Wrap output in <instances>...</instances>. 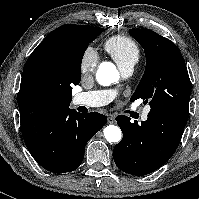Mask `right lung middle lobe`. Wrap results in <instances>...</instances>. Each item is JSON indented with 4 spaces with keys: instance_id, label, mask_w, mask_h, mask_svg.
<instances>
[{
    "instance_id": "1",
    "label": "right lung middle lobe",
    "mask_w": 199,
    "mask_h": 199,
    "mask_svg": "<svg viewBox=\"0 0 199 199\" xmlns=\"http://www.w3.org/2000/svg\"><path fill=\"white\" fill-rule=\"evenodd\" d=\"M103 28L93 26H74L69 30L70 38L56 53L50 62L53 77L62 83L71 94L72 85L81 80V62L88 44L92 42Z\"/></svg>"
}]
</instances>
